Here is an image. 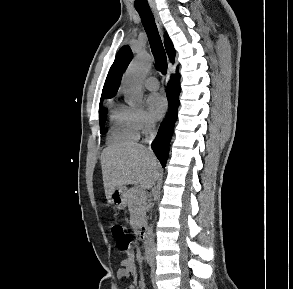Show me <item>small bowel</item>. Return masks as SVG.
<instances>
[{
    "mask_svg": "<svg viewBox=\"0 0 293 289\" xmlns=\"http://www.w3.org/2000/svg\"><path fill=\"white\" fill-rule=\"evenodd\" d=\"M136 263L132 254H129L122 262L117 271V278L120 280L130 279L136 274ZM130 289H133V283L130 284ZM143 289V288H141Z\"/></svg>",
    "mask_w": 293,
    "mask_h": 289,
    "instance_id": "small-bowel-1",
    "label": "small bowel"
}]
</instances>
